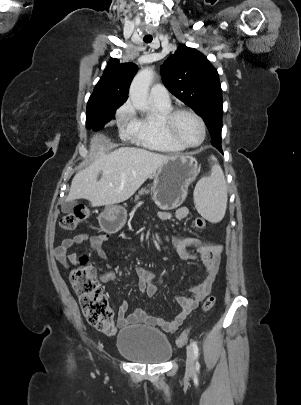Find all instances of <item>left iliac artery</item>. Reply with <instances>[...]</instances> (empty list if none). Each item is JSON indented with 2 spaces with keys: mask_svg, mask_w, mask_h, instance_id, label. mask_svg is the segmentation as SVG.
Here are the masks:
<instances>
[{
  "mask_svg": "<svg viewBox=\"0 0 301 405\" xmlns=\"http://www.w3.org/2000/svg\"><path fill=\"white\" fill-rule=\"evenodd\" d=\"M191 345H192V348H193V351H194V355H195L196 368L198 369V368H199V363H198L199 349H198L197 343H196L195 341H192V342H191Z\"/></svg>",
  "mask_w": 301,
  "mask_h": 405,
  "instance_id": "44dca946",
  "label": "left iliac artery"
}]
</instances>
